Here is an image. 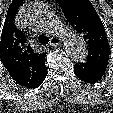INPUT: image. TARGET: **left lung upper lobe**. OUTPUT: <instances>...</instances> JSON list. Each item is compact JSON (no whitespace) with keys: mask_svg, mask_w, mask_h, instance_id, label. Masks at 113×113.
<instances>
[{"mask_svg":"<svg viewBox=\"0 0 113 113\" xmlns=\"http://www.w3.org/2000/svg\"><path fill=\"white\" fill-rule=\"evenodd\" d=\"M67 21L88 45L87 63L104 68L108 65L110 46L95 8L89 0H56Z\"/></svg>","mask_w":113,"mask_h":113,"instance_id":"5c2ea615","label":"left lung upper lobe"}]
</instances>
